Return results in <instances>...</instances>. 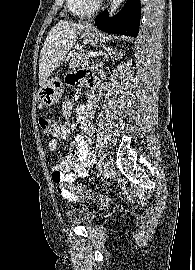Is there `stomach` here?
Here are the masks:
<instances>
[{"instance_id":"obj_1","label":"stomach","mask_w":195,"mask_h":270,"mask_svg":"<svg viewBox=\"0 0 195 270\" xmlns=\"http://www.w3.org/2000/svg\"><path fill=\"white\" fill-rule=\"evenodd\" d=\"M101 34L93 27H86L82 38L86 43L94 45L98 42ZM64 87L61 81L57 78H51L38 91V101L46 106L50 107L55 105L63 93Z\"/></svg>"}]
</instances>
